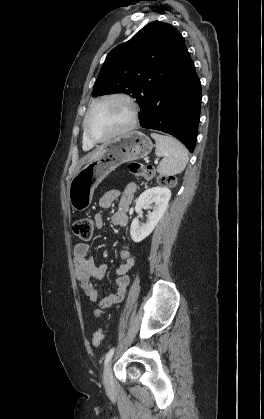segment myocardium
<instances>
[{"instance_id": "1", "label": "myocardium", "mask_w": 264, "mask_h": 419, "mask_svg": "<svg viewBox=\"0 0 264 419\" xmlns=\"http://www.w3.org/2000/svg\"><path fill=\"white\" fill-rule=\"evenodd\" d=\"M112 99H119L124 101L130 108V120L128 122V124L119 129L118 131L103 137V138H94L90 135L89 130H88V119L89 116L91 114V112L93 111V109L99 105L100 103H103L105 101L108 100H112ZM138 115H139V108L137 103L135 102V100L128 94L126 93H122V92H113V93H108L105 95H102L101 97L97 98L96 100H94L91 105L89 106L84 120H83V131H84V136L85 138L92 144H100V143H105L108 142L110 140H113L115 138H118L120 136H123L127 133H129L130 131H132L138 122Z\"/></svg>"}]
</instances>
